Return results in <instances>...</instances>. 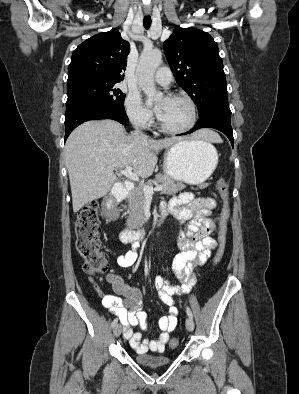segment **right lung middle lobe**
I'll list each match as a JSON object with an SVG mask.
<instances>
[{
  "label": "right lung middle lobe",
  "mask_w": 299,
  "mask_h": 394,
  "mask_svg": "<svg viewBox=\"0 0 299 394\" xmlns=\"http://www.w3.org/2000/svg\"><path fill=\"white\" fill-rule=\"evenodd\" d=\"M67 103L75 101H96L123 112L125 95L116 83L91 82L67 88Z\"/></svg>",
  "instance_id": "1"
}]
</instances>
